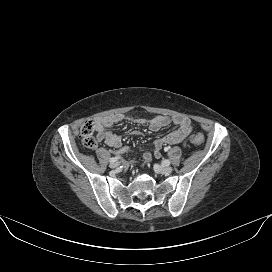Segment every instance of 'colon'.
<instances>
[{
	"label": "colon",
	"mask_w": 272,
	"mask_h": 272,
	"mask_svg": "<svg viewBox=\"0 0 272 272\" xmlns=\"http://www.w3.org/2000/svg\"><path fill=\"white\" fill-rule=\"evenodd\" d=\"M95 132V124L92 120L85 121L81 128H80V134H81V142L82 145L86 148H94L97 144V139L94 135ZM204 142V138L201 134H198L193 137L192 143L195 145H201Z\"/></svg>",
	"instance_id": "colon-1"
}]
</instances>
